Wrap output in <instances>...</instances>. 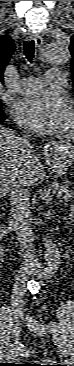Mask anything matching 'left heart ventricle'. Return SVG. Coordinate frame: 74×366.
Here are the masks:
<instances>
[{
  "label": "left heart ventricle",
  "instance_id": "1",
  "mask_svg": "<svg viewBox=\"0 0 74 366\" xmlns=\"http://www.w3.org/2000/svg\"><path fill=\"white\" fill-rule=\"evenodd\" d=\"M69 118H70V115H69V117H68L67 124H68V122H69Z\"/></svg>",
  "mask_w": 74,
  "mask_h": 366
}]
</instances>
